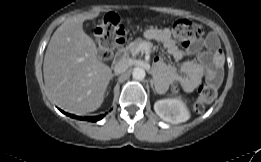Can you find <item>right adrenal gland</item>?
I'll use <instances>...</instances> for the list:
<instances>
[{"label": "right adrenal gland", "mask_w": 261, "mask_h": 162, "mask_svg": "<svg viewBox=\"0 0 261 162\" xmlns=\"http://www.w3.org/2000/svg\"><path fill=\"white\" fill-rule=\"evenodd\" d=\"M118 75H119V74L114 73V74L111 75V78H110V79L113 80V77H114V76H118ZM108 94H109V91L107 92V95H108Z\"/></svg>", "instance_id": "right-adrenal-gland-1"}]
</instances>
